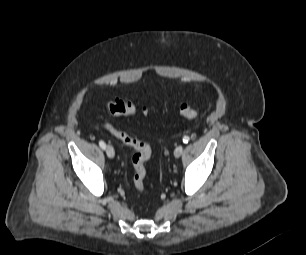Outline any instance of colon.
<instances>
[{
  "mask_svg": "<svg viewBox=\"0 0 306 255\" xmlns=\"http://www.w3.org/2000/svg\"><path fill=\"white\" fill-rule=\"evenodd\" d=\"M107 110L111 115L121 117H130L146 113L145 109H139L130 101L123 99H115L108 102ZM178 111L182 117L188 120H193L197 117V110L190 104H181ZM104 127L113 137L134 150L132 156V164L134 168L133 184L139 192H144L146 177L145 163L151 156L150 146L146 142L130 136L128 133L111 124L106 123L104 124Z\"/></svg>",
  "mask_w": 306,
  "mask_h": 255,
  "instance_id": "5ec220e1",
  "label": "colon"
}]
</instances>
